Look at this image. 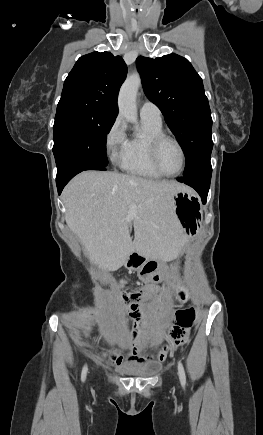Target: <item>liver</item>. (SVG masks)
<instances>
[{
    "label": "liver",
    "instance_id": "liver-1",
    "mask_svg": "<svg viewBox=\"0 0 263 435\" xmlns=\"http://www.w3.org/2000/svg\"><path fill=\"white\" fill-rule=\"evenodd\" d=\"M185 189L176 181L85 171L62 192L65 220L88 258L104 270H117L133 252L171 261L181 253L186 238L172 197ZM131 205L136 206V216L128 220Z\"/></svg>",
    "mask_w": 263,
    "mask_h": 435
}]
</instances>
